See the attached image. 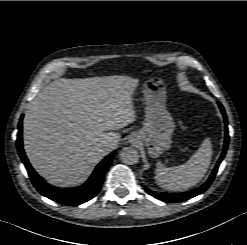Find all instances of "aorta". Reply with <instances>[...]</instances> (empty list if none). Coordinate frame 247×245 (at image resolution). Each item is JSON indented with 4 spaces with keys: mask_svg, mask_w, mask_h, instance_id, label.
<instances>
[{
    "mask_svg": "<svg viewBox=\"0 0 247 245\" xmlns=\"http://www.w3.org/2000/svg\"><path fill=\"white\" fill-rule=\"evenodd\" d=\"M120 159L126 165H134L139 161V153L132 147H125L120 152Z\"/></svg>",
    "mask_w": 247,
    "mask_h": 245,
    "instance_id": "obj_1",
    "label": "aorta"
}]
</instances>
